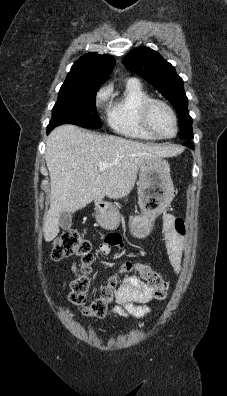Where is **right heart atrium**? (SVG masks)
I'll list each match as a JSON object with an SVG mask.
<instances>
[{"label": "right heart atrium", "instance_id": "d8ad5b80", "mask_svg": "<svg viewBox=\"0 0 227 396\" xmlns=\"http://www.w3.org/2000/svg\"><path fill=\"white\" fill-rule=\"evenodd\" d=\"M108 96H109V91L107 89L101 90L97 94V98H96L97 103L98 104L102 103L103 101H105L107 99Z\"/></svg>", "mask_w": 227, "mask_h": 396}]
</instances>
